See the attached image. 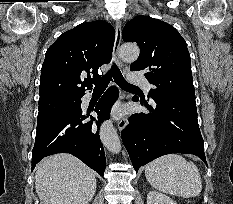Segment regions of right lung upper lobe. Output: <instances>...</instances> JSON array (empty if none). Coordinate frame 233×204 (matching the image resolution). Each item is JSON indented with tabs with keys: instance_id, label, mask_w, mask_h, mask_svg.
Listing matches in <instances>:
<instances>
[{
	"instance_id": "right-lung-upper-lobe-1",
	"label": "right lung upper lobe",
	"mask_w": 233,
	"mask_h": 204,
	"mask_svg": "<svg viewBox=\"0 0 233 204\" xmlns=\"http://www.w3.org/2000/svg\"><path fill=\"white\" fill-rule=\"evenodd\" d=\"M115 39L114 28L98 20L82 23L66 31L46 51L41 68L40 102L64 97H82L86 74L99 77L98 68L109 63ZM81 85V86H80Z\"/></svg>"
}]
</instances>
